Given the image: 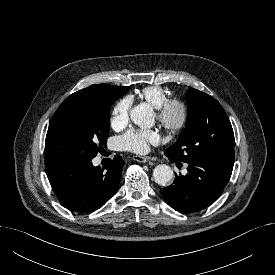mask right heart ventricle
Returning a JSON list of instances; mask_svg holds the SVG:
<instances>
[{"instance_id":"right-heart-ventricle-1","label":"right heart ventricle","mask_w":275,"mask_h":275,"mask_svg":"<svg viewBox=\"0 0 275 275\" xmlns=\"http://www.w3.org/2000/svg\"><path fill=\"white\" fill-rule=\"evenodd\" d=\"M140 96L155 108L160 107L168 99L165 89L156 85L143 88Z\"/></svg>"}]
</instances>
